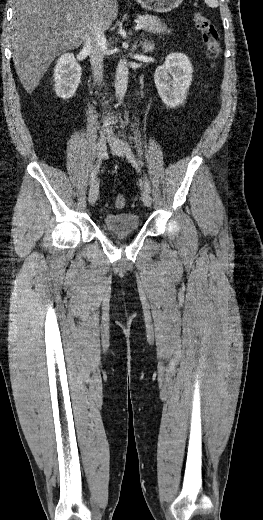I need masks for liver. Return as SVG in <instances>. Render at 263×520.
Segmentation results:
<instances>
[{"label":"liver","instance_id":"obj_1","mask_svg":"<svg viewBox=\"0 0 263 520\" xmlns=\"http://www.w3.org/2000/svg\"><path fill=\"white\" fill-rule=\"evenodd\" d=\"M94 15L108 30L118 15L117 0H14L12 57L28 93L39 85L56 56L85 41Z\"/></svg>","mask_w":263,"mask_h":520}]
</instances>
